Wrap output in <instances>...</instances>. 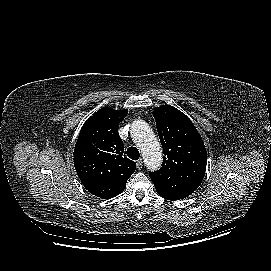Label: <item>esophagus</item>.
Returning <instances> with one entry per match:
<instances>
[{"label":"esophagus","instance_id":"obj_1","mask_svg":"<svg viewBox=\"0 0 271 271\" xmlns=\"http://www.w3.org/2000/svg\"><path fill=\"white\" fill-rule=\"evenodd\" d=\"M137 169L138 170H141L142 169V166H143V161H142V159H139L138 161H137Z\"/></svg>","mask_w":271,"mask_h":271}]
</instances>
